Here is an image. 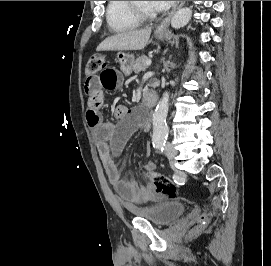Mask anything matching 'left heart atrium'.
<instances>
[{
  "label": "left heart atrium",
  "mask_w": 271,
  "mask_h": 266,
  "mask_svg": "<svg viewBox=\"0 0 271 266\" xmlns=\"http://www.w3.org/2000/svg\"><path fill=\"white\" fill-rule=\"evenodd\" d=\"M175 1H151L154 11H162L169 8Z\"/></svg>",
  "instance_id": "1"
}]
</instances>
